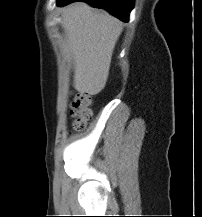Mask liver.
<instances>
[{
	"label": "liver",
	"mask_w": 202,
	"mask_h": 217,
	"mask_svg": "<svg viewBox=\"0 0 202 217\" xmlns=\"http://www.w3.org/2000/svg\"><path fill=\"white\" fill-rule=\"evenodd\" d=\"M60 23L74 64V88L80 93L98 94L107 82L122 22L78 2L62 10Z\"/></svg>",
	"instance_id": "1"
}]
</instances>
